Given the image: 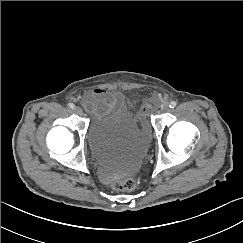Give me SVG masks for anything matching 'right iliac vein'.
I'll return each mask as SVG.
<instances>
[{"label":"right iliac vein","instance_id":"1","mask_svg":"<svg viewBox=\"0 0 243 243\" xmlns=\"http://www.w3.org/2000/svg\"><path fill=\"white\" fill-rule=\"evenodd\" d=\"M75 113L81 116V115H83V110L80 107H76Z\"/></svg>","mask_w":243,"mask_h":243}]
</instances>
